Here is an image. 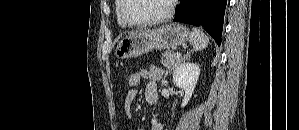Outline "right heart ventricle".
Returning a JSON list of instances; mask_svg holds the SVG:
<instances>
[{
    "instance_id": "obj_1",
    "label": "right heart ventricle",
    "mask_w": 299,
    "mask_h": 130,
    "mask_svg": "<svg viewBox=\"0 0 299 130\" xmlns=\"http://www.w3.org/2000/svg\"><path fill=\"white\" fill-rule=\"evenodd\" d=\"M121 5H122L121 0L115 1V12H116L117 23L121 28H128V25L122 20L120 16Z\"/></svg>"
}]
</instances>
